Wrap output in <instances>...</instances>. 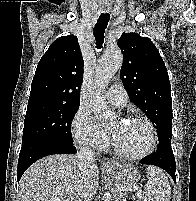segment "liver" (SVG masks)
Wrapping results in <instances>:
<instances>
[{
    "instance_id": "1",
    "label": "liver",
    "mask_w": 196,
    "mask_h": 201,
    "mask_svg": "<svg viewBox=\"0 0 196 201\" xmlns=\"http://www.w3.org/2000/svg\"><path fill=\"white\" fill-rule=\"evenodd\" d=\"M122 166L108 165V171ZM99 169L76 155L55 154L32 164L19 183L20 201H91L98 189Z\"/></svg>"
}]
</instances>
